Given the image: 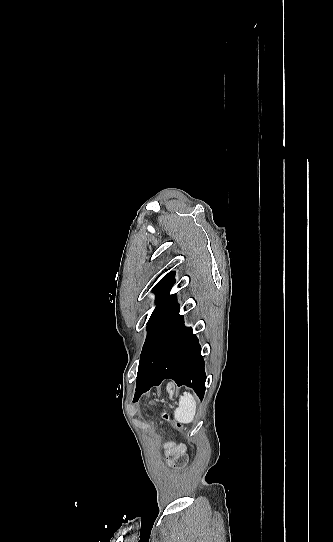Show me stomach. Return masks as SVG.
<instances>
[{
    "mask_svg": "<svg viewBox=\"0 0 333 542\" xmlns=\"http://www.w3.org/2000/svg\"><path fill=\"white\" fill-rule=\"evenodd\" d=\"M168 392H169L170 396H173L174 390H170V388H168Z\"/></svg>",
    "mask_w": 333,
    "mask_h": 542,
    "instance_id": "stomach-1",
    "label": "stomach"
}]
</instances>
